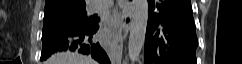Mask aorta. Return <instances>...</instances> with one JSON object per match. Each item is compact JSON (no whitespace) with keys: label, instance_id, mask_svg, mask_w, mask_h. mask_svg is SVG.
<instances>
[{"label":"aorta","instance_id":"1","mask_svg":"<svg viewBox=\"0 0 242 64\" xmlns=\"http://www.w3.org/2000/svg\"><path fill=\"white\" fill-rule=\"evenodd\" d=\"M148 22V1L136 0L128 42V55L135 60L144 46Z\"/></svg>","mask_w":242,"mask_h":64}]
</instances>
